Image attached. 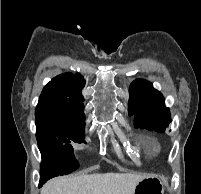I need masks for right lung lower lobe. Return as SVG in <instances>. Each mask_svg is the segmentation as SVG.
Masks as SVG:
<instances>
[{
	"label": "right lung lower lobe",
	"mask_w": 201,
	"mask_h": 194,
	"mask_svg": "<svg viewBox=\"0 0 201 194\" xmlns=\"http://www.w3.org/2000/svg\"><path fill=\"white\" fill-rule=\"evenodd\" d=\"M40 152L43 161L41 165L39 187H41L48 179L52 178L54 172H51L50 169L53 167V165L57 166L68 155L65 151L57 148H46L40 150Z\"/></svg>",
	"instance_id": "98d812e1"
}]
</instances>
